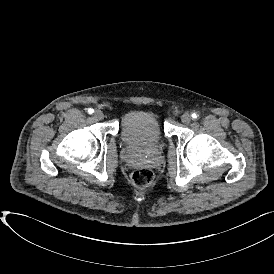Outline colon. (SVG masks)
<instances>
[{
	"label": "colon",
	"mask_w": 274,
	"mask_h": 274,
	"mask_svg": "<svg viewBox=\"0 0 274 274\" xmlns=\"http://www.w3.org/2000/svg\"><path fill=\"white\" fill-rule=\"evenodd\" d=\"M131 183L139 188L145 189L154 181V174L149 168H138L130 176Z\"/></svg>",
	"instance_id": "obj_1"
}]
</instances>
